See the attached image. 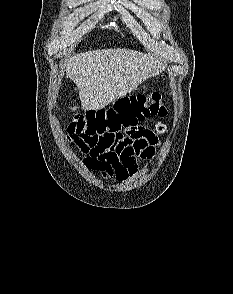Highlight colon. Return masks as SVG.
<instances>
[{"instance_id": "1", "label": "colon", "mask_w": 233, "mask_h": 294, "mask_svg": "<svg viewBox=\"0 0 233 294\" xmlns=\"http://www.w3.org/2000/svg\"><path fill=\"white\" fill-rule=\"evenodd\" d=\"M165 114L160 93L136 95L119 100L110 109L76 115L68 126V133L84 154L96 156L106 149H123L134 138L125 137V132H138L132 131V126H140L152 116Z\"/></svg>"}]
</instances>
